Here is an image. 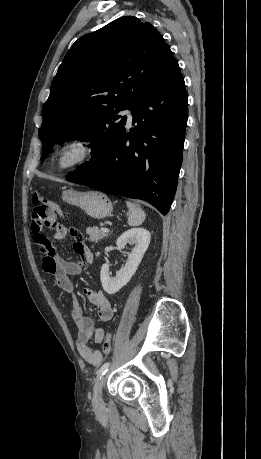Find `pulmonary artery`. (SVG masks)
I'll return each instance as SVG.
<instances>
[{
  "instance_id": "pulmonary-artery-1",
  "label": "pulmonary artery",
  "mask_w": 261,
  "mask_h": 459,
  "mask_svg": "<svg viewBox=\"0 0 261 459\" xmlns=\"http://www.w3.org/2000/svg\"><path fill=\"white\" fill-rule=\"evenodd\" d=\"M123 114L127 116L128 123H131L132 120H133L132 111L130 109H127V110L123 111Z\"/></svg>"
}]
</instances>
